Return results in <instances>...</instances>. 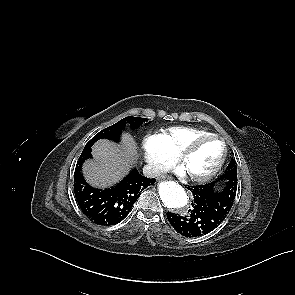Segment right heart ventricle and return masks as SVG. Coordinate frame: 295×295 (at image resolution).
<instances>
[{
  "mask_svg": "<svg viewBox=\"0 0 295 295\" xmlns=\"http://www.w3.org/2000/svg\"><path fill=\"white\" fill-rule=\"evenodd\" d=\"M206 134L209 132L199 128L175 126L165 129L158 135L165 149L177 157L191 140Z\"/></svg>",
  "mask_w": 295,
  "mask_h": 295,
  "instance_id": "right-heart-ventricle-1",
  "label": "right heart ventricle"
}]
</instances>
